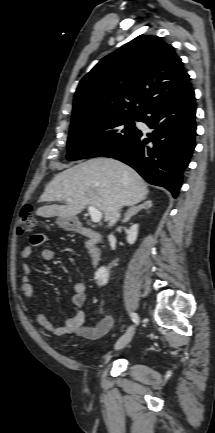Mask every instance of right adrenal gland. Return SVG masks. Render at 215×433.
<instances>
[{"label": "right adrenal gland", "instance_id": "obj_1", "mask_svg": "<svg viewBox=\"0 0 215 433\" xmlns=\"http://www.w3.org/2000/svg\"><path fill=\"white\" fill-rule=\"evenodd\" d=\"M152 206V202L150 200L144 202L143 204L139 205V206H132L131 208H129V210L125 213V217L122 220L123 223L128 222L132 216H134L135 214H137V212H139L141 209H148Z\"/></svg>", "mask_w": 215, "mask_h": 433}]
</instances>
